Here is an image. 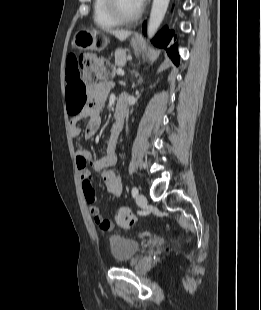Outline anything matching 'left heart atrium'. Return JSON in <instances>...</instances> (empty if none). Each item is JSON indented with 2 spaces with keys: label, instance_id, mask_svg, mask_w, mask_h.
<instances>
[{
  "label": "left heart atrium",
  "instance_id": "obj_1",
  "mask_svg": "<svg viewBox=\"0 0 261 310\" xmlns=\"http://www.w3.org/2000/svg\"><path fill=\"white\" fill-rule=\"evenodd\" d=\"M135 1L140 8L145 3V0H135Z\"/></svg>",
  "mask_w": 261,
  "mask_h": 310
}]
</instances>
